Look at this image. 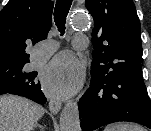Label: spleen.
<instances>
[{"label": "spleen", "mask_w": 151, "mask_h": 131, "mask_svg": "<svg viewBox=\"0 0 151 131\" xmlns=\"http://www.w3.org/2000/svg\"><path fill=\"white\" fill-rule=\"evenodd\" d=\"M104 131H144V129L134 124L118 123L106 126Z\"/></svg>", "instance_id": "3e777b00"}]
</instances>
